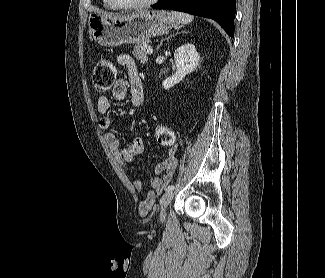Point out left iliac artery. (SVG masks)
Here are the masks:
<instances>
[{
  "mask_svg": "<svg viewBox=\"0 0 325 278\" xmlns=\"http://www.w3.org/2000/svg\"><path fill=\"white\" fill-rule=\"evenodd\" d=\"M175 189V186L174 185H169L167 188H166V191H173Z\"/></svg>",
  "mask_w": 325,
  "mask_h": 278,
  "instance_id": "left-iliac-artery-1",
  "label": "left iliac artery"
}]
</instances>
